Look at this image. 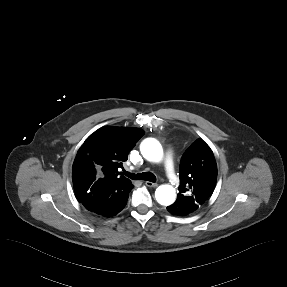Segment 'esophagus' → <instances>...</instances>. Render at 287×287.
Segmentation results:
<instances>
[{"label":"esophagus","instance_id":"1","mask_svg":"<svg viewBox=\"0 0 287 287\" xmlns=\"http://www.w3.org/2000/svg\"><path fill=\"white\" fill-rule=\"evenodd\" d=\"M144 184H145L146 186H148V187H153V188H155V187L158 186L157 183H152V182H150V181H146Z\"/></svg>","mask_w":287,"mask_h":287}]
</instances>
